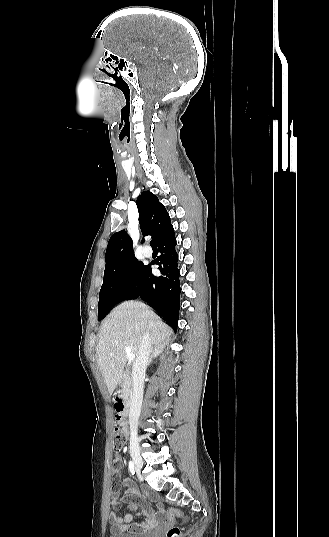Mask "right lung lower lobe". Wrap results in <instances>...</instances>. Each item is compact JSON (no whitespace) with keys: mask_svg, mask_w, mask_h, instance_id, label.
Segmentation results:
<instances>
[{"mask_svg":"<svg viewBox=\"0 0 329 537\" xmlns=\"http://www.w3.org/2000/svg\"><path fill=\"white\" fill-rule=\"evenodd\" d=\"M157 245L160 256L152 264L159 266L162 275L154 276L151 264L146 265L139 285L127 299L141 298L154 307L167 324L177 327L181 287L174 229L162 237Z\"/></svg>","mask_w":329,"mask_h":537,"instance_id":"1","label":"right lung lower lobe"}]
</instances>
